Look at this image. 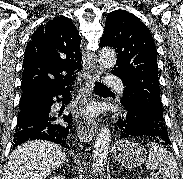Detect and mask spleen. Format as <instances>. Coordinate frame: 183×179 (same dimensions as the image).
Segmentation results:
<instances>
[{"mask_svg": "<svg viewBox=\"0 0 183 179\" xmlns=\"http://www.w3.org/2000/svg\"><path fill=\"white\" fill-rule=\"evenodd\" d=\"M149 155L146 168L162 171V179H179V168L176 159L162 145L155 142H147Z\"/></svg>", "mask_w": 183, "mask_h": 179, "instance_id": "3e777b00", "label": "spleen"}]
</instances>
